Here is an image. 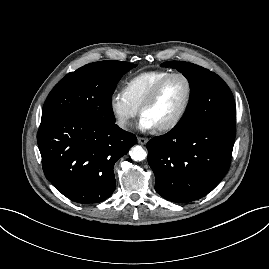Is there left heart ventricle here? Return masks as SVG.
<instances>
[{"label":"left heart ventricle","mask_w":269,"mask_h":269,"mask_svg":"<svg viewBox=\"0 0 269 269\" xmlns=\"http://www.w3.org/2000/svg\"><path fill=\"white\" fill-rule=\"evenodd\" d=\"M187 98V84L181 77H173L161 89L156 101L143 115L155 127L167 124L181 111Z\"/></svg>","instance_id":"b2bd125f"}]
</instances>
